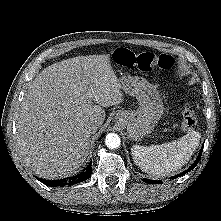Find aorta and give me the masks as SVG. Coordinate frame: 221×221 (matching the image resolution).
Listing matches in <instances>:
<instances>
[{
	"label": "aorta",
	"instance_id": "obj_1",
	"mask_svg": "<svg viewBox=\"0 0 221 221\" xmlns=\"http://www.w3.org/2000/svg\"><path fill=\"white\" fill-rule=\"evenodd\" d=\"M120 143V137L116 133H109L106 135L105 144L109 149L118 148Z\"/></svg>",
	"mask_w": 221,
	"mask_h": 221
}]
</instances>
